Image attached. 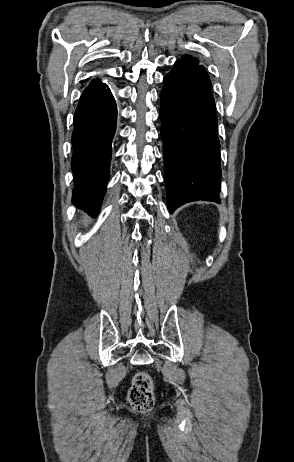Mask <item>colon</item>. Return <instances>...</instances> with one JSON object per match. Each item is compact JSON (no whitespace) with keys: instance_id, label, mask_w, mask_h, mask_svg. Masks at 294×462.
Returning <instances> with one entry per match:
<instances>
[{"instance_id":"obj_1","label":"colon","mask_w":294,"mask_h":462,"mask_svg":"<svg viewBox=\"0 0 294 462\" xmlns=\"http://www.w3.org/2000/svg\"><path fill=\"white\" fill-rule=\"evenodd\" d=\"M128 400L132 407L140 412H148L154 406L153 381L146 372L135 374L128 392Z\"/></svg>"}]
</instances>
